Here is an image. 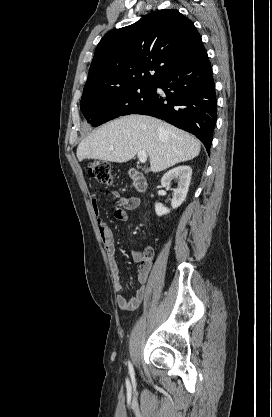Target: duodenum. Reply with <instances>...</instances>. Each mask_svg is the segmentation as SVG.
Returning <instances> with one entry per match:
<instances>
[{
  "instance_id": "duodenum-1",
  "label": "duodenum",
  "mask_w": 272,
  "mask_h": 417,
  "mask_svg": "<svg viewBox=\"0 0 272 417\" xmlns=\"http://www.w3.org/2000/svg\"><path fill=\"white\" fill-rule=\"evenodd\" d=\"M129 176L132 180V183H133L134 188L136 189V191L142 192V191L145 190L146 180H145L144 176L139 171H137L135 169H131L129 171Z\"/></svg>"
}]
</instances>
